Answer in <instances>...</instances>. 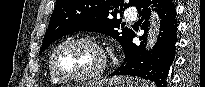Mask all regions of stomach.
Segmentation results:
<instances>
[{"label":"stomach","mask_w":205,"mask_h":87,"mask_svg":"<svg viewBox=\"0 0 205 87\" xmlns=\"http://www.w3.org/2000/svg\"><path fill=\"white\" fill-rule=\"evenodd\" d=\"M81 87H146L138 79L130 77H114L99 82L83 84Z\"/></svg>","instance_id":"1"}]
</instances>
